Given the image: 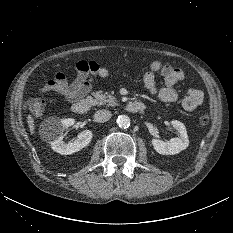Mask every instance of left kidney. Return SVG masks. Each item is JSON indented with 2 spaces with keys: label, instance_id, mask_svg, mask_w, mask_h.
<instances>
[{
  "label": "left kidney",
  "instance_id": "1",
  "mask_svg": "<svg viewBox=\"0 0 233 233\" xmlns=\"http://www.w3.org/2000/svg\"><path fill=\"white\" fill-rule=\"evenodd\" d=\"M172 127L176 130L178 137L171 138L169 141L152 139L151 143L156 152L162 155H175L189 146V139L185 125L178 121H171Z\"/></svg>",
  "mask_w": 233,
  "mask_h": 233
}]
</instances>
